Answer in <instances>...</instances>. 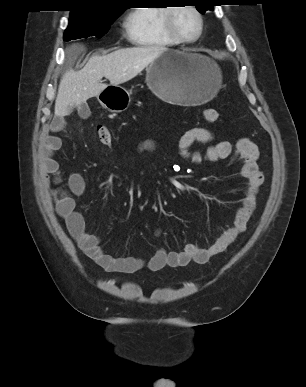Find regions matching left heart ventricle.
<instances>
[{"label": "left heart ventricle", "mask_w": 306, "mask_h": 387, "mask_svg": "<svg viewBox=\"0 0 306 387\" xmlns=\"http://www.w3.org/2000/svg\"><path fill=\"white\" fill-rule=\"evenodd\" d=\"M174 23L178 32L186 38H193L198 33L199 20L189 9H178L174 16Z\"/></svg>", "instance_id": "b2bd125f"}]
</instances>
